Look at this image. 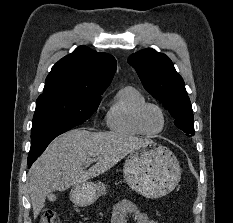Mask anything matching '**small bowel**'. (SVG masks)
<instances>
[{"label": "small bowel", "instance_id": "obj_1", "mask_svg": "<svg viewBox=\"0 0 233 223\" xmlns=\"http://www.w3.org/2000/svg\"><path fill=\"white\" fill-rule=\"evenodd\" d=\"M129 217L134 223H158L149 218L133 202L127 199L117 202L111 213V223H128Z\"/></svg>", "mask_w": 233, "mask_h": 223}]
</instances>
